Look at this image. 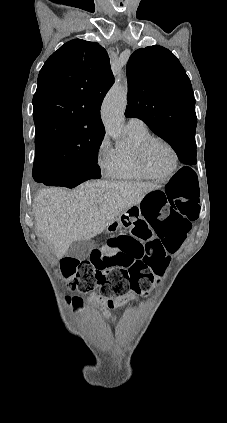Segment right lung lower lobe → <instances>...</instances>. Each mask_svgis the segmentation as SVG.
<instances>
[{
    "mask_svg": "<svg viewBox=\"0 0 227 423\" xmlns=\"http://www.w3.org/2000/svg\"><path fill=\"white\" fill-rule=\"evenodd\" d=\"M33 178L36 182L47 186H63L73 188L88 180L77 174L62 170L57 162L53 160L34 161Z\"/></svg>",
    "mask_w": 227,
    "mask_h": 423,
    "instance_id": "1",
    "label": "right lung lower lobe"
}]
</instances>
